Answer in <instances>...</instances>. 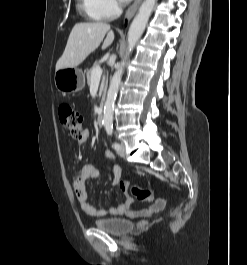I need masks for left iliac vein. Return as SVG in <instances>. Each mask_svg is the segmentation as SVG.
I'll use <instances>...</instances> for the list:
<instances>
[{"mask_svg": "<svg viewBox=\"0 0 247 265\" xmlns=\"http://www.w3.org/2000/svg\"><path fill=\"white\" fill-rule=\"evenodd\" d=\"M117 154L122 158L125 157V145L123 143H121L120 147L117 149Z\"/></svg>", "mask_w": 247, "mask_h": 265, "instance_id": "obj_1", "label": "left iliac vein"}]
</instances>
